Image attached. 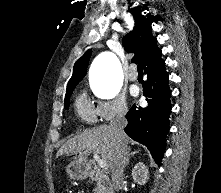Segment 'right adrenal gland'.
Wrapping results in <instances>:
<instances>
[{
  "mask_svg": "<svg viewBox=\"0 0 221 193\" xmlns=\"http://www.w3.org/2000/svg\"><path fill=\"white\" fill-rule=\"evenodd\" d=\"M138 153V151H131V148H128V155H127V159H126V163H125V167H127L129 165L130 162V158L135 156Z\"/></svg>",
  "mask_w": 221,
  "mask_h": 193,
  "instance_id": "right-adrenal-gland-1",
  "label": "right adrenal gland"
}]
</instances>
